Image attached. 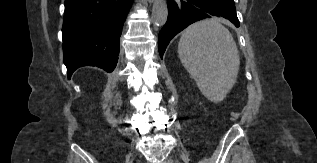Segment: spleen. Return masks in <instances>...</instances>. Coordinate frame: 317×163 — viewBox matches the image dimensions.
<instances>
[{
  "label": "spleen",
  "instance_id": "spleen-1",
  "mask_svg": "<svg viewBox=\"0 0 317 163\" xmlns=\"http://www.w3.org/2000/svg\"><path fill=\"white\" fill-rule=\"evenodd\" d=\"M178 54L202 94L214 103L222 101L233 87L240 65L229 30L212 19L196 22L183 31Z\"/></svg>",
  "mask_w": 317,
  "mask_h": 163
}]
</instances>
